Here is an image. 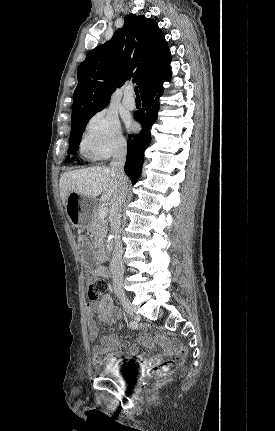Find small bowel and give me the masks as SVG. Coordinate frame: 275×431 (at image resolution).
Wrapping results in <instances>:
<instances>
[{
  "label": "small bowel",
  "mask_w": 275,
  "mask_h": 431,
  "mask_svg": "<svg viewBox=\"0 0 275 431\" xmlns=\"http://www.w3.org/2000/svg\"><path fill=\"white\" fill-rule=\"evenodd\" d=\"M79 249L86 266L99 277L107 278V270L95 263L93 249L89 241L85 238H80ZM87 316L89 339L95 340L99 337V344L94 346L92 350L93 362L95 364H108L119 361L123 356L120 351L121 340L119 336L116 334L99 336V328L96 321V319H98L105 325L116 323L120 328H122L121 312L114 306L111 294H104L99 301L89 303L87 305ZM140 328L144 332V335L138 340L142 347L149 352L156 343L164 349V352L168 357L164 361L157 360V366L167 363L166 369L168 371L175 362L184 356V348L179 342L167 339L157 328L148 324H143ZM137 351L136 346L130 347L128 356L137 354ZM140 359L145 366H148L151 363V360L145 355H140Z\"/></svg>",
  "instance_id": "small-bowel-1"
}]
</instances>
